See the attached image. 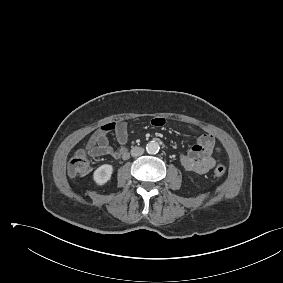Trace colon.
Listing matches in <instances>:
<instances>
[{
	"label": "colon",
	"mask_w": 283,
	"mask_h": 283,
	"mask_svg": "<svg viewBox=\"0 0 283 283\" xmlns=\"http://www.w3.org/2000/svg\"><path fill=\"white\" fill-rule=\"evenodd\" d=\"M70 176L84 175L90 170V158L89 154L83 150H77L68 162L67 167ZM226 173V167L222 164H218L214 168V175L216 177H222Z\"/></svg>",
	"instance_id": "1"
}]
</instances>
